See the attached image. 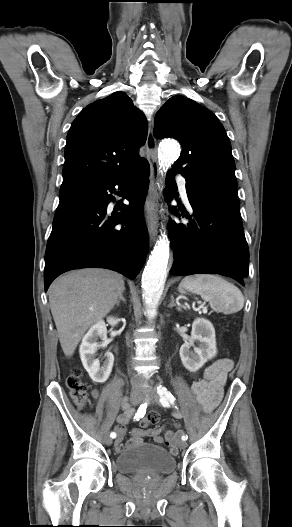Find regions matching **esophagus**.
Here are the masks:
<instances>
[{
    "label": "esophagus",
    "mask_w": 292,
    "mask_h": 527,
    "mask_svg": "<svg viewBox=\"0 0 292 527\" xmlns=\"http://www.w3.org/2000/svg\"><path fill=\"white\" fill-rule=\"evenodd\" d=\"M146 151L147 159L150 164L151 174H150V189L148 197L145 202V218L146 224L148 226V231L151 240L155 239L157 234V182L159 179V166L157 158V143L154 136V122L153 120L149 123L148 135L146 140Z\"/></svg>",
    "instance_id": "34e87169"
}]
</instances>
